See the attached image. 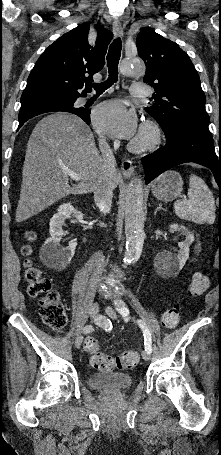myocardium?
<instances>
[{
    "label": "myocardium",
    "mask_w": 221,
    "mask_h": 455,
    "mask_svg": "<svg viewBox=\"0 0 221 455\" xmlns=\"http://www.w3.org/2000/svg\"><path fill=\"white\" fill-rule=\"evenodd\" d=\"M162 139L160 126L154 121L147 120L141 125L137 136L129 143V149L133 152L153 150L161 144Z\"/></svg>",
    "instance_id": "myocardium-1"
}]
</instances>
